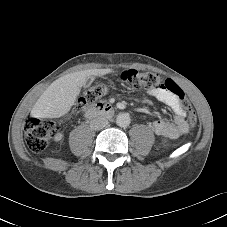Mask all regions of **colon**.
<instances>
[{"instance_id":"obj_1","label":"colon","mask_w":227,"mask_h":227,"mask_svg":"<svg viewBox=\"0 0 227 227\" xmlns=\"http://www.w3.org/2000/svg\"><path fill=\"white\" fill-rule=\"evenodd\" d=\"M120 81L133 89H152L153 91L166 89L173 93L179 100L181 106L189 113L190 133L192 134L197 123L196 114L191 107L184 91L173 81H163L157 74L140 72L137 70H125L120 74ZM109 85L98 84L89 88L79 99L76 109L80 110L85 106L94 103L109 91ZM25 142L32 152L43 151L50 139L58 132V126L50 120H42L36 117H29L25 123Z\"/></svg>"}]
</instances>
